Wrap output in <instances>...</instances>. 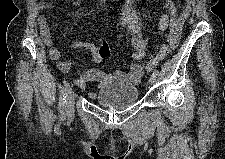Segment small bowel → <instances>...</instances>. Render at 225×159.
I'll list each match as a JSON object with an SVG mask.
<instances>
[{"instance_id":"small-bowel-1","label":"small bowel","mask_w":225,"mask_h":159,"mask_svg":"<svg viewBox=\"0 0 225 159\" xmlns=\"http://www.w3.org/2000/svg\"><path fill=\"white\" fill-rule=\"evenodd\" d=\"M135 0H127L124 2L118 10L116 18V24L126 30L131 39L132 62L128 65L126 71L115 70L111 73H105L99 68L104 60L109 59L110 50L108 45L104 41L100 43H92L85 41H74L71 44L72 50L86 49L90 52L92 57L93 66L83 68L80 77L75 80L77 87L85 89L90 82H97L101 86H104L112 81H126L130 84H138L144 75V69L140 61L146 56L148 49V42L143 39L141 32V24L138 15L134 9ZM51 7L50 3L39 2L36 5L37 24L39 27V34L46 46L50 47L49 56L56 62L58 69L62 73H68L71 70L70 61L61 60L62 53L58 48L53 47V38L51 35V29L46 17L42 14V11ZM166 12L161 15L159 21V30L164 32L167 29L170 22V28L167 35V41L171 49L175 48L181 36V30L185 18L190 11V2H185L181 10L178 12L175 4L172 1L165 3ZM92 97L95 93L90 94Z\"/></svg>"}]
</instances>
